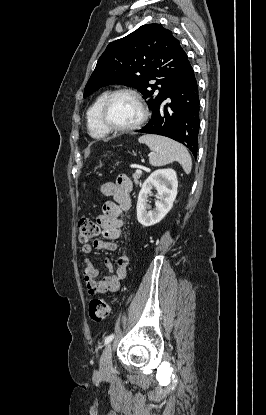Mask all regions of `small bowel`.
<instances>
[{
	"mask_svg": "<svg viewBox=\"0 0 266 415\" xmlns=\"http://www.w3.org/2000/svg\"><path fill=\"white\" fill-rule=\"evenodd\" d=\"M133 185L130 178L126 175H119L115 182H107L101 185L100 192L105 196L112 197L113 200L106 201L103 205V213L98 216L97 222L102 229L103 238H98L92 243L85 244L82 250L85 254H90L94 250L105 249L115 251L117 249L116 240L122 235V228L125 222L121 218L123 212L131 207V191ZM107 274L97 280L99 271L96 265L86 260L83 268L84 282L89 294L105 292H115L118 290L120 281L126 276L128 256L121 253L116 260V267L110 259L104 260Z\"/></svg>",
	"mask_w": 266,
	"mask_h": 415,
	"instance_id": "small-bowel-1",
	"label": "small bowel"
}]
</instances>
